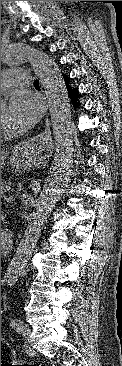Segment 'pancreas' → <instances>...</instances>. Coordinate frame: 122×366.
<instances>
[{
  "label": "pancreas",
  "instance_id": "obj_1",
  "mask_svg": "<svg viewBox=\"0 0 122 366\" xmlns=\"http://www.w3.org/2000/svg\"><path fill=\"white\" fill-rule=\"evenodd\" d=\"M11 189L10 184L9 183H4L1 182V199L6 197V192L9 191Z\"/></svg>",
  "mask_w": 122,
  "mask_h": 366
}]
</instances>
